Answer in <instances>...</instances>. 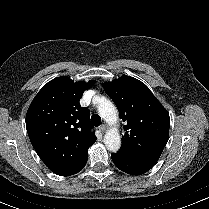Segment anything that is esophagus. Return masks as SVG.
Here are the masks:
<instances>
[{
    "mask_svg": "<svg viewBox=\"0 0 209 209\" xmlns=\"http://www.w3.org/2000/svg\"><path fill=\"white\" fill-rule=\"evenodd\" d=\"M106 125H101L100 127H99V130L102 132V133H104L105 131H106Z\"/></svg>",
    "mask_w": 209,
    "mask_h": 209,
    "instance_id": "1",
    "label": "esophagus"
}]
</instances>
